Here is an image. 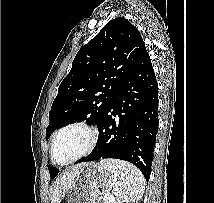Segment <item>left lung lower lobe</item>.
Masks as SVG:
<instances>
[{
    "mask_svg": "<svg viewBox=\"0 0 214 203\" xmlns=\"http://www.w3.org/2000/svg\"><path fill=\"white\" fill-rule=\"evenodd\" d=\"M157 111L158 85L145 50L97 126L99 137L95 148L75 164L102 158L121 159L137 166L148 181L159 124Z\"/></svg>",
    "mask_w": 214,
    "mask_h": 203,
    "instance_id": "left-lung-lower-lobe-1",
    "label": "left lung lower lobe"
}]
</instances>
